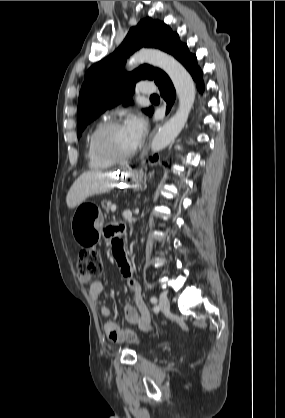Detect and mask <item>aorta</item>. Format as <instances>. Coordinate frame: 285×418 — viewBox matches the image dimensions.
Wrapping results in <instances>:
<instances>
[{"instance_id": "762f6f07", "label": "aorta", "mask_w": 285, "mask_h": 418, "mask_svg": "<svg viewBox=\"0 0 285 418\" xmlns=\"http://www.w3.org/2000/svg\"><path fill=\"white\" fill-rule=\"evenodd\" d=\"M147 62L165 71L176 90L179 107L176 113L158 130L151 143L152 152L168 146L184 128L195 101V84L187 70L171 55L155 49H144L135 53L128 65Z\"/></svg>"}]
</instances>
